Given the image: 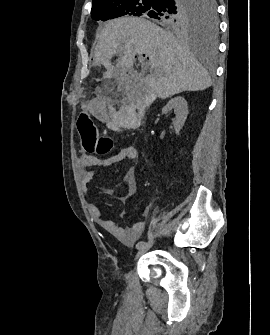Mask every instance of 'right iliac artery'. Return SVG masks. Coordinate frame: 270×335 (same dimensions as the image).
I'll list each match as a JSON object with an SVG mask.
<instances>
[{
	"instance_id": "obj_1",
	"label": "right iliac artery",
	"mask_w": 270,
	"mask_h": 335,
	"mask_svg": "<svg viewBox=\"0 0 270 335\" xmlns=\"http://www.w3.org/2000/svg\"><path fill=\"white\" fill-rule=\"evenodd\" d=\"M145 244H146V242L140 241L136 244V248L139 249V248L143 247Z\"/></svg>"
}]
</instances>
